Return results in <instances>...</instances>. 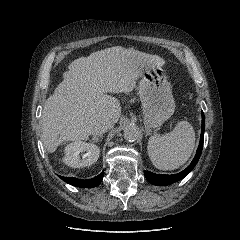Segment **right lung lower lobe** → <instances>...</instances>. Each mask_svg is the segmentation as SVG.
Wrapping results in <instances>:
<instances>
[{
	"label": "right lung lower lobe",
	"instance_id": "right-lung-lower-lobe-1",
	"mask_svg": "<svg viewBox=\"0 0 240 240\" xmlns=\"http://www.w3.org/2000/svg\"><path fill=\"white\" fill-rule=\"evenodd\" d=\"M63 181L76 187L93 188L98 186L103 179V172L96 177L88 180H81L72 177H60Z\"/></svg>",
	"mask_w": 240,
	"mask_h": 240
}]
</instances>
